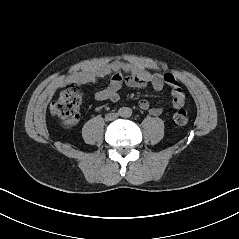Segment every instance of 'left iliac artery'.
I'll return each instance as SVG.
<instances>
[{
  "mask_svg": "<svg viewBox=\"0 0 239 239\" xmlns=\"http://www.w3.org/2000/svg\"><path fill=\"white\" fill-rule=\"evenodd\" d=\"M132 115V110L131 109H127L126 110V116L130 117Z\"/></svg>",
  "mask_w": 239,
  "mask_h": 239,
  "instance_id": "left-iliac-artery-1",
  "label": "left iliac artery"
}]
</instances>
